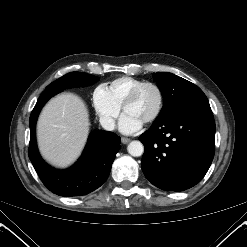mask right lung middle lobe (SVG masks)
<instances>
[{"instance_id": "obj_1", "label": "right lung middle lobe", "mask_w": 247, "mask_h": 247, "mask_svg": "<svg viewBox=\"0 0 247 247\" xmlns=\"http://www.w3.org/2000/svg\"><path fill=\"white\" fill-rule=\"evenodd\" d=\"M99 79L96 76L82 72L68 73L61 78L55 80L46 87L48 91H63L67 88L88 86L97 82Z\"/></svg>"}]
</instances>
